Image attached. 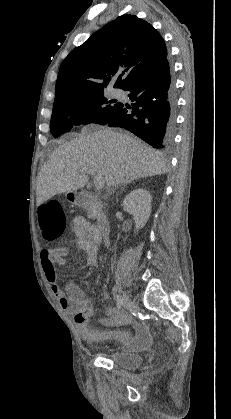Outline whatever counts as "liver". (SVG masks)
<instances>
[{"instance_id":"6515ba94","label":"liver","mask_w":231,"mask_h":419,"mask_svg":"<svg viewBox=\"0 0 231 419\" xmlns=\"http://www.w3.org/2000/svg\"><path fill=\"white\" fill-rule=\"evenodd\" d=\"M93 169L107 188L166 172L163 156L130 134L110 128L88 130L60 145L37 178L36 200L41 205L53 196L82 189L88 182L81 170Z\"/></svg>"}]
</instances>
